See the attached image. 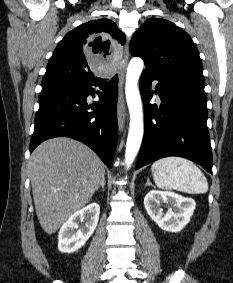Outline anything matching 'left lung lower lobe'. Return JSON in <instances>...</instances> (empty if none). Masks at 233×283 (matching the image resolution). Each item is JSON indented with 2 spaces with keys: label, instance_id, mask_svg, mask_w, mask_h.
Listing matches in <instances>:
<instances>
[{
  "label": "left lung lower lobe",
  "instance_id": "1",
  "mask_svg": "<svg viewBox=\"0 0 233 283\" xmlns=\"http://www.w3.org/2000/svg\"><path fill=\"white\" fill-rule=\"evenodd\" d=\"M155 93L161 104H150ZM205 82L183 76H159L143 71L140 91L145 105V131L136 169L167 156L200 164L212 174V151L207 128Z\"/></svg>",
  "mask_w": 233,
  "mask_h": 283
}]
</instances>
